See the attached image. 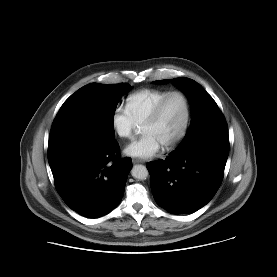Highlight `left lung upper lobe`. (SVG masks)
Instances as JSON below:
<instances>
[{
	"label": "left lung upper lobe",
	"mask_w": 277,
	"mask_h": 277,
	"mask_svg": "<svg viewBox=\"0 0 277 277\" xmlns=\"http://www.w3.org/2000/svg\"><path fill=\"white\" fill-rule=\"evenodd\" d=\"M168 80L155 81L156 83H166ZM172 83L180 87L188 96L192 110V120L190 127L177 149L181 148L186 141L194 137L201 130L225 123L223 114L219 110L216 102L205 91V89L189 78H175Z\"/></svg>",
	"instance_id": "5c2ea615"
}]
</instances>
